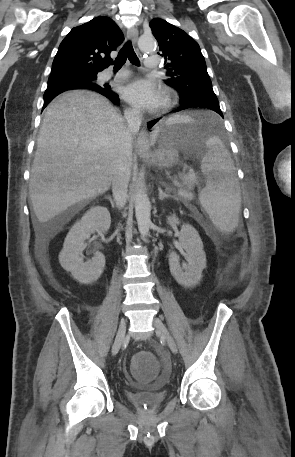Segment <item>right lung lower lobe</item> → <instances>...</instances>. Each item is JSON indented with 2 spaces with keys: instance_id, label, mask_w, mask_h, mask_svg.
Segmentation results:
<instances>
[{
  "instance_id": "obj_1",
  "label": "right lung lower lobe",
  "mask_w": 295,
  "mask_h": 457,
  "mask_svg": "<svg viewBox=\"0 0 295 457\" xmlns=\"http://www.w3.org/2000/svg\"><path fill=\"white\" fill-rule=\"evenodd\" d=\"M47 89H58V90H71V89H89L92 91H96L105 97H107L109 100H111L114 103H118L119 97L118 95L110 90V87H100L96 85H85L82 82L79 81H62V80H56L52 82H48V87ZM52 98H44V107L47 106V104L53 99Z\"/></svg>"
}]
</instances>
